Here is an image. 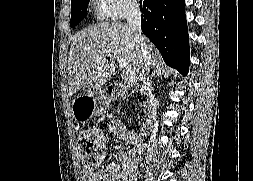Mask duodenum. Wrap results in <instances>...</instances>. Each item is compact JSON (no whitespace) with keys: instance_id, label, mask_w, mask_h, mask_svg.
I'll return each mask as SVG.
<instances>
[{"instance_id":"1","label":"duodenum","mask_w":253,"mask_h":181,"mask_svg":"<svg viewBox=\"0 0 253 181\" xmlns=\"http://www.w3.org/2000/svg\"><path fill=\"white\" fill-rule=\"evenodd\" d=\"M109 93L113 96H117L121 93H123V90L121 87L118 86H111L109 88ZM148 125H146L145 129L143 130V133H147Z\"/></svg>"}]
</instances>
